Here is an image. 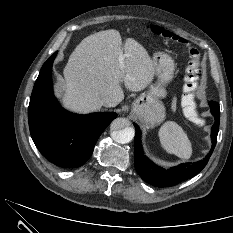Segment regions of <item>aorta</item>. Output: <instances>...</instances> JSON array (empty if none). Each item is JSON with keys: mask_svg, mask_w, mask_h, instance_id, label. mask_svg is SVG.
Masks as SVG:
<instances>
[{"mask_svg": "<svg viewBox=\"0 0 233 233\" xmlns=\"http://www.w3.org/2000/svg\"><path fill=\"white\" fill-rule=\"evenodd\" d=\"M112 139L121 144L129 143L134 137V129L126 118H116L110 125Z\"/></svg>", "mask_w": 233, "mask_h": 233, "instance_id": "762f6f07", "label": "aorta"}]
</instances>
